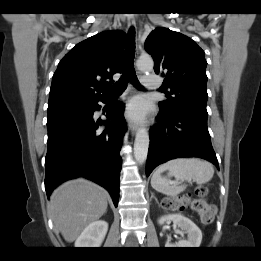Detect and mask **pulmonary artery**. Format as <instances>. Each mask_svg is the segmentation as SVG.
Segmentation results:
<instances>
[{
    "mask_svg": "<svg viewBox=\"0 0 261 261\" xmlns=\"http://www.w3.org/2000/svg\"><path fill=\"white\" fill-rule=\"evenodd\" d=\"M142 82L147 89H157L161 84L160 78L156 75H144Z\"/></svg>",
    "mask_w": 261,
    "mask_h": 261,
    "instance_id": "pulmonary-artery-1",
    "label": "pulmonary artery"
}]
</instances>
